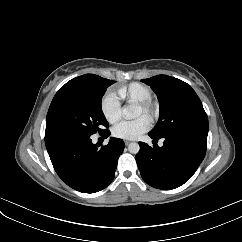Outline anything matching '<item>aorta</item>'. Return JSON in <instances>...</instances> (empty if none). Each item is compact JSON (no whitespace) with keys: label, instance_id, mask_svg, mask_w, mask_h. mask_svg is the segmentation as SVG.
Segmentation results:
<instances>
[{"label":"aorta","instance_id":"obj_1","mask_svg":"<svg viewBox=\"0 0 242 242\" xmlns=\"http://www.w3.org/2000/svg\"><path fill=\"white\" fill-rule=\"evenodd\" d=\"M122 113H123L124 117L131 119V118H135L138 116L139 109H138V107H136L134 105H126L123 107ZM128 150L132 154H137L140 150V146L138 143H135V142L130 143L128 146Z\"/></svg>","mask_w":242,"mask_h":242}]
</instances>
